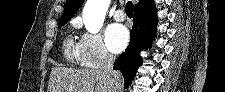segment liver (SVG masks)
Segmentation results:
<instances>
[{"label":"liver","instance_id":"obj_1","mask_svg":"<svg viewBox=\"0 0 225 92\" xmlns=\"http://www.w3.org/2000/svg\"><path fill=\"white\" fill-rule=\"evenodd\" d=\"M122 77L112 81L100 69L52 68L47 92H117L122 89Z\"/></svg>","mask_w":225,"mask_h":92}]
</instances>
